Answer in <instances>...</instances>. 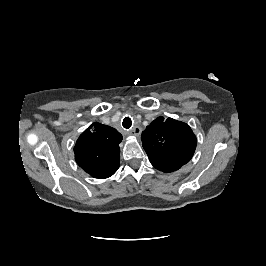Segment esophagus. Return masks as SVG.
<instances>
[{
  "label": "esophagus",
  "mask_w": 266,
  "mask_h": 266,
  "mask_svg": "<svg viewBox=\"0 0 266 266\" xmlns=\"http://www.w3.org/2000/svg\"><path fill=\"white\" fill-rule=\"evenodd\" d=\"M142 132V129L139 127V126H135L132 130H131V133L136 136V137H139L140 134Z\"/></svg>",
  "instance_id": "34e87169"
}]
</instances>
